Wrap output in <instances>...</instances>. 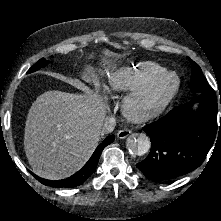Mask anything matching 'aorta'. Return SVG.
<instances>
[{
    "label": "aorta",
    "instance_id": "1",
    "mask_svg": "<svg viewBox=\"0 0 221 221\" xmlns=\"http://www.w3.org/2000/svg\"><path fill=\"white\" fill-rule=\"evenodd\" d=\"M126 146L131 154L142 156L149 151L151 142L144 133L132 134L127 138Z\"/></svg>",
    "mask_w": 221,
    "mask_h": 221
}]
</instances>
